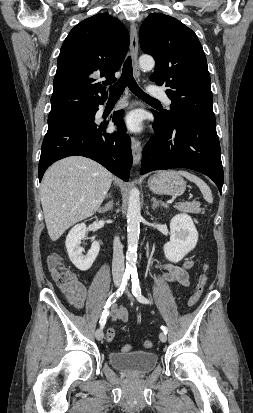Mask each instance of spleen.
<instances>
[{
    "mask_svg": "<svg viewBox=\"0 0 253 413\" xmlns=\"http://www.w3.org/2000/svg\"><path fill=\"white\" fill-rule=\"evenodd\" d=\"M178 174L184 176L185 178H187L191 182L195 183L199 187V189H200V191L203 195V198L207 202L213 203L212 192H211L209 186L201 178H199L198 176H196V175H194L190 172H187L185 170L178 171Z\"/></svg>",
    "mask_w": 253,
    "mask_h": 413,
    "instance_id": "3e777b00",
    "label": "spleen"
}]
</instances>
